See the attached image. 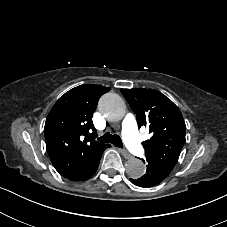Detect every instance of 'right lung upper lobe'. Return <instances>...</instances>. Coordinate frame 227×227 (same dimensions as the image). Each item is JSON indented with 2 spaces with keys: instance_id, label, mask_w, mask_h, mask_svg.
<instances>
[{
  "instance_id": "right-lung-upper-lobe-1",
  "label": "right lung upper lobe",
  "mask_w": 227,
  "mask_h": 227,
  "mask_svg": "<svg viewBox=\"0 0 227 227\" xmlns=\"http://www.w3.org/2000/svg\"><path fill=\"white\" fill-rule=\"evenodd\" d=\"M111 88L84 84L61 96L49 112L44 133L46 148L54 167L80 168L88 156L108 144L95 141L92 122L99 98Z\"/></svg>"
}]
</instances>
